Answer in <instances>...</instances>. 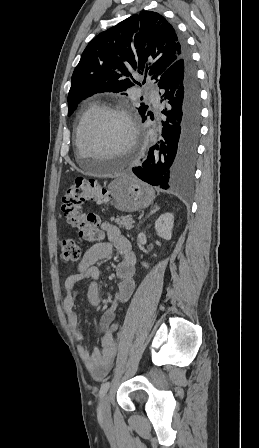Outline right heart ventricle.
<instances>
[{
    "instance_id": "1",
    "label": "right heart ventricle",
    "mask_w": 259,
    "mask_h": 448,
    "mask_svg": "<svg viewBox=\"0 0 259 448\" xmlns=\"http://www.w3.org/2000/svg\"><path fill=\"white\" fill-rule=\"evenodd\" d=\"M99 108H100L99 102L96 100H93L88 103L85 110L80 115V117L77 121L75 130H74V136H73L74 148H79V135H80V131H81V128H82L84 122L90 116H92Z\"/></svg>"
}]
</instances>
